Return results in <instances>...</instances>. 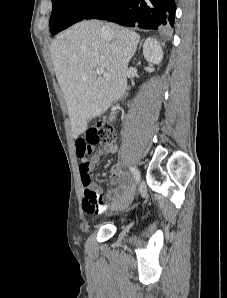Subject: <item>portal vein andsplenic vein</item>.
Wrapping results in <instances>:
<instances>
[{
	"label": "portal vein and splenic vein",
	"instance_id": "1",
	"mask_svg": "<svg viewBox=\"0 0 227 298\" xmlns=\"http://www.w3.org/2000/svg\"><path fill=\"white\" fill-rule=\"evenodd\" d=\"M96 73H97V75H102L103 77H105V78H107V79H109L110 78V75L108 74V73H106L105 71H104V69H102V68H97L96 69Z\"/></svg>",
	"mask_w": 227,
	"mask_h": 298
}]
</instances>
